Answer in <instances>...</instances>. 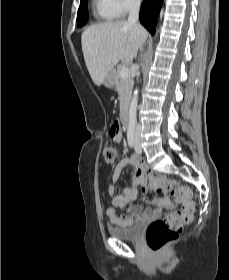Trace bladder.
Listing matches in <instances>:
<instances>
[{
    "instance_id": "obj_1",
    "label": "bladder",
    "mask_w": 229,
    "mask_h": 280,
    "mask_svg": "<svg viewBox=\"0 0 229 280\" xmlns=\"http://www.w3.org/2000/svg\"><path fill=\"white\" fill-rule=\"evenodd\" d=\"M144 227V221L139 220L131 226L111 228L110 234L122 241L136 240L142 233Z\"/></svg>"
}]
</instances>
